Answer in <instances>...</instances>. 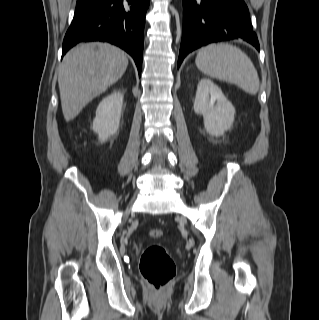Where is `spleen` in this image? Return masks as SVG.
Here are the masks:
<instances>
[{
    "mask_svg": "<svg viewBox=\"0 0 319 320\" xmlns=\"http://www.w3.org/2000/svg\"><path fill=\"white\" fill-rule=\"evenodd\" d=\"M195 63L206 75L236 84L251 95L259 90L260 81L254 64L241 49L233 45H207L199 50Z\"/></svg>",
    "mask_w": 319,
    "mask_h": 320,
    "instance_id": "1",
    "label": "spleen"
}]
</instances>
